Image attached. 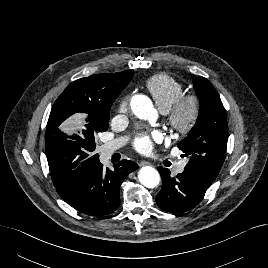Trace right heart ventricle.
<instances>
[{"instance_id":"1","label":"right heart ventricle","mask_w":268,"mask_h":268,"mask_svg":"<svg viewBox=\"0 0 268 268\" xmlns=\"http://www.w3.org/2000/svg\"><path fill=\"white\" fill-rule=\"evenodd\" d=\"M145 87L163 113H167L177 99L184 94L183 86L165 74L152 76L146 81Z\"/></svg>"}]
</instances>
